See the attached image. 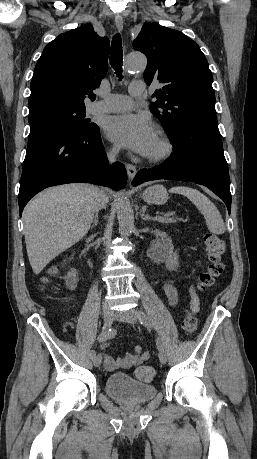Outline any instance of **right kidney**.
I'll return each mask as SVG.
<instances>
[{"instance_id":"1","label":"right kidney","mask_w":257,"mask_h":459,"mask_svg":"<svg viewBox=\"0 0 257 459\" xmlns=\"http://www.w3.org/2000/svg\"><path fill=\"white\" fill-rule=\"evenodd\" d=\"M65 281H66V286H67L68 289H70V290L76 289L77 282H78L76 269H71L67 273V276L65 277Z\"/></svg>"}]
</instances>
